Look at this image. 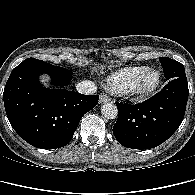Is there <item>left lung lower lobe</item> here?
<instances>
[{
    "label": "left lung lower lobe",
    "instance_id": "0a47b994",
    "mask_svg": "<svg viewBox=\"0 0 195 195\" xmlns=\"http://www.w3.org/2000/svg\"><path fill=\"white\" fill-rule=\"evenodd\" d=\"M187 79H170L152 98L135 105L116 103L118 119L113 127L117 141L128 148H154L180 126L188 100Z\"/></svg>",
    "mask_w": 195,
    "mask_h": 195
}]
</instances>
